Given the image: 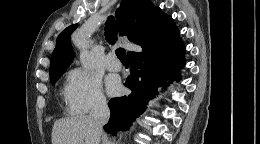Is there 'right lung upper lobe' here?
I'll return each mask as SVG.
<instances>
[{"label":"right lung upper lobe","mask_w":260,"mask_h":144,"mask_svg":"<svg viewBox=\"0 0 260 144\" xmlns=\"http://www.w3.org/2000/svg\"><path fill=\"white\" fill-rule=\"evenodd\" d=\"M115 15L119 23L120 34L140 45L143 51L179 35V30L172 17L163 13L149 0H122ZM77 26L78 24H73L59 34L51 57L50 74L66 70L72 61L74 52L70 43V35ZM130 53L132 52L129 51L128 55Z\"/></svg>","instance_id":"1"}]
</instances>
